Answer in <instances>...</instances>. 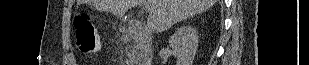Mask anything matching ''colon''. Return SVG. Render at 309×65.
<instances>
[{
    "label": "colon",
    "mask_w": 309,
    "mask_h": 65,
    "mask_svg": "<svg viewBox=\"0 0 309 65\" xmlns=\"http://www.w3.org/2000/svg\"><path fill=\"white\" fill-rule=\"evenodd\" d=\"M77 45L82 53L93 54L101 49V41L94 19L88 14H79L74 19Z\"/></svg>",
    "instance_id": "colon-1"
}]
</instances>
